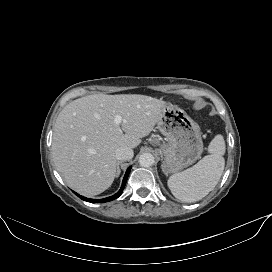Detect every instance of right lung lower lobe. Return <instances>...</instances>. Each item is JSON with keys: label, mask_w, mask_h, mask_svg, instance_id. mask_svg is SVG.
I'll list each match as a JSON object with an SVG mask.
<instances>
[{"label": "right lung lower lobe", "mask_w": 272, "mask_h": 272, "mask_svg": "<svg viewBox=\"0 0 272 272\" xmlns=\"http://www.w3.org/2000/svg\"><path fill=\"white\" fill-rule=\"evenodd\" d=\"M130 170H131V167H129V168L127 169L126 173H125V176H124V178H123V182H122V186H121L120 190H119L116 194H114L113 196H110V197H107V198H104V199H90V198L83 197V196H81V195H79V194H77V193H75V194H76L79 198H81L82 200H85V201L91 202V203H103V202L112 201V200L118 198V197L121 195V193H122V191H123V189H124V187H125V184H126V182H127V178H128V176H129Z\"/></svg>", "instance_id": "obj_1"}]
</instances>
